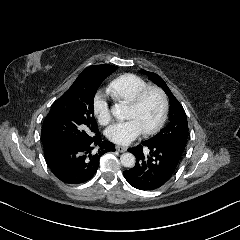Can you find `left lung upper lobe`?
Segmentation results:
<instances>
[{
    "label": "left lung upper lobe",
    "mask_w": 240,
    "mask_h": 240,
    "mask_svg": "<svg viewBox=\"0 0 240 240\" xmlns=\"http://www.w3.org/2000/svg\"><path fill=\"white\" fill-rule=\"evenodd\" d=\"M141 72L147 74L150 80L160 86L166 92L170 101V122L157 135L145 141V143L175 145L184 150L188 139V123L182 105L159 75L145 70H141Z\"/></svg>",
    "instance_id": "5c2ea615"
}]
</instances>
